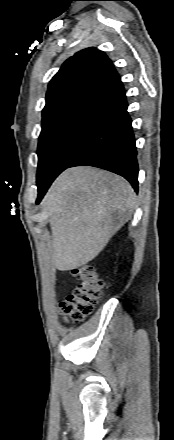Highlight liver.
<instances>
[{"label":"liver","instance_id":"obj_1","mask_svg":"<svg viewBox=\"0 0 174 440\" xmlns=\"http://www.w3.org/2000/svg\"><path fill=\"white\" fill-rule=\"evenodd\" d=\"M43 204L52 231L53 265L68 271L104 249L133 214L136 195L119 175L74 167L56 178Z\"/></svg>","mask_w":174,"mask_h":440}]
</instances>
